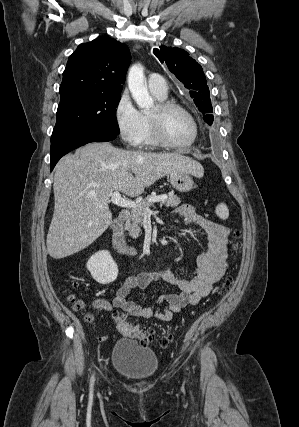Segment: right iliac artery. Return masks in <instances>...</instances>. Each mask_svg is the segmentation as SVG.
I'll use <instances>...</instances> for the list:
<instances>
[{
	"instance_id": "obj_1",
	"label": "right iliac artery",
	"mask_w": 299,
	"mask_h": 427,
	"mask_svg": "<svg viewBox=\"0 0 299 427\" xmlns=\"http://www.w3.org/2000/svg\"><path fill=\"white\" fill-rule=\"evenodd\" d=\"M93 382H94V377L91 378V388L93 386Z\"/></svg>"
}]
</instances>
